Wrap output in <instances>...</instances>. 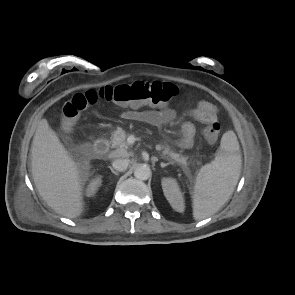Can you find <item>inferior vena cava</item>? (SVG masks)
<instances>
[{
    "label": "inferior vena cava",
    "mask_w": 295,
    "mask_h": 295,
    "mask_svg": "<svg viewBox=\"0 0 295 295\" xmlns=\"http://www.w3.org/2000/svg\"><path fill=\"white\" fill-rule=\"evenodd\" d=\"M130 160L129 159H123V158H118L115 159L112 162V166L114 169H116L117 171H125L129 165Z\"/></svg>",
    "instance_id": "inferior-vena-cava-1"
}]
</instances>
